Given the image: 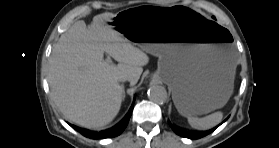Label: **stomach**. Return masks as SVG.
<instances>
[{
    "label": "stomach",
    "instance_id": "obj_1",
    "mask_svg": "<svg viewBox=\"0 0 279 148\" xmlns=\"http://www.w3.org/2000/svg\"><path fill=\"white\" fill-rule=\"evenodd\" d=\"M110 24L129 42L159 57L154 78L170 87L181 115L207 114L230 98L236 56L226 27L191 7L133 6Z\"/></svg>",
    "mask_w": 279,
    "mask_h": 148
}]
</instances>
